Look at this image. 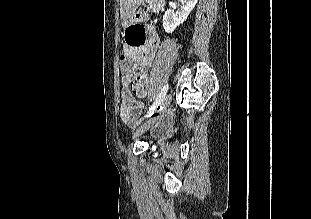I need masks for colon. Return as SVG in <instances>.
<instances>
[{"instance_id": "1", "label": "colon", "mask_w": 311, "mask_h": 219, "mask_svg": "<svg viewBox=\"0 0 311 219\" xmlns=\"http://www.w3.org/2000/svg\"><path fill=\"white\" fill-rule=\"evenodd\" d=\"M145 29L140 25H133L127 29L126 41L129 43H138L143 38ZM137 63L129 56L120 57V70L124 75L135 72ZM131 89L137 95H144L146 92V79L138 76L132 83Z\"/></svg>"}]
</instances>
